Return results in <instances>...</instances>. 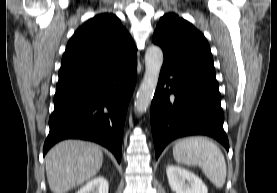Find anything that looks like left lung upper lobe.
<instances>
[{
	"label": "left lung upper lobe",
	"instance_id": "1",
	"mask_svg": "<svg viewBox=\"0 0 277 193\" xmlns=\"http://www.w3.org/2000/svg\"><path fill=\"white\" fill-rule=\"evenodd\" d=\"M153 42L164 53V62L184 68L215 71L213 57L204 35L174 13L160 18Z\"/></svg>",
	"mask_w": 277,
	"mask_h": 193
}]
</instances>
